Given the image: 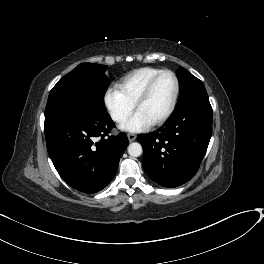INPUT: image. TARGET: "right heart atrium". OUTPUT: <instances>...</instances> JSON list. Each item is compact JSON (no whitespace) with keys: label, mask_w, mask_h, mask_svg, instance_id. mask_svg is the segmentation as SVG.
<instances>
[{"label":"right heart atrium","mask_w":264,"mask_h":264,"mask_svg":"<svg viewBox=\"0 0 264 264\" xmlns=\"http://www.w3.org/2000/svg\"><path fill=\"white\" fill-rule=\"evenodd\" d=\"M104 102L111 118L117 123H122L133 112L135 106L118 87L107 90Z\"/></svg>","instance_id":"obj_1"}]
</instances>
